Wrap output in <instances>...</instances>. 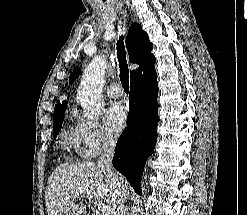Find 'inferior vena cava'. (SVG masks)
<instances>
[{
  "label": "inferior vena cava",
  "mask_w": 247,
  "mask_h": 215,
  "mask_svg": "<svg viewBox=\"0 0 247 215\" xmlns=\"http://www.w3.org/2000/svg\"><path fill=\"white\" fill-rule=\"evenodd\" d=\"M116 141L113 138H108L103 144V153L100 156L97 166L104 168L107 178L113 186L112 198V214L113 215H128L125 207L126 192L121 186L117 174L112 167V160L115 152Z\"/></svg>",
  "instance_id": "inferior-vena-cava-1"
}]
</instances>
